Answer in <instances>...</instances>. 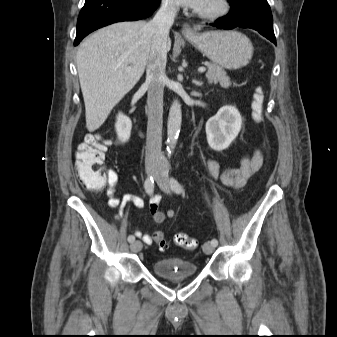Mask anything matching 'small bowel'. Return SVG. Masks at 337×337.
I'll return each instance as SVG.
<instances>
[{
	"mask_svg": "<svg viewBox=\"0 0 337 337\" xmlns=\"http://www.w3.org/2000/svg\"><path fill=\"white\" fill-rule=\"evenodd\" d=\"M263 163V156L259 149H255L251 155H244L241 158L240 166L236 168H227L221 170L219 163L212 158H208L205 164L208 168L209 176L213 181H220L227 189H242L250 177L257 172ZM107 190L108 206L118 210L116 218L122 220L125 217V209L127 204L132 203L137 208H144V201L132 194H125L121 198L116 195V186L118 183V174L113 169L107 170ZM161 195L155 194L149 204V215L155 224L162 223L166 218L175 217V211L172 209L162 212L159 210ZM137 238L141 239L145 244L151 245L154 242L153 234L144 233L137 229L135 231Z\"/></svg>",
	"mask_w": 337,
	"mask_h": 337,
	"instance_id": "small-bowel-1",
	"label": "small bowel"
}]
</instances>
